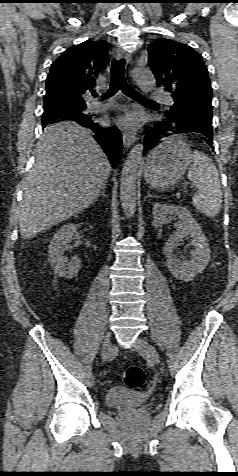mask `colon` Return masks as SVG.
Segmentation results:
<instances>
[{
    "label": "colon",
    "mask_w": 238,
    "mask_h": 476,
    "mask_svg": "<svg viewBox=\"0 0 238 476\" xmlns=\"http://www.w3.org/2000/svg\"><path fill=\"white\" fill-rule=\"evenodd\" d=\"M121 378L128 387L138 388L145 382V372L139 366H129L123 370Z\"/></svg>",
    "instance_id": "1"
}]
</instances>
